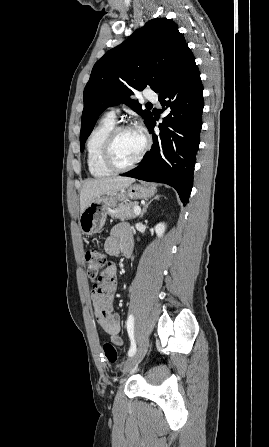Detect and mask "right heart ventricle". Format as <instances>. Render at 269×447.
Segmentation results:
<instances>
[{
	"instance_id": "e07e8e85",
	"label": "right heart ventricle",
	"mask_w": 269,
	"mask_h": 447,
	"mask_svg": "<svg viewBox=\"0 0 269 447\" xmlns=\"http://www.w3.org/2000/svg\"><path fill=\"white\" fill-rule=\"evenodd\" d=\"M115 126V119L107 115L92 130L87 140V166L95 177L110 175L113 170L103 162V146L109 132Z\"/></svg>"
}]
</instances>
